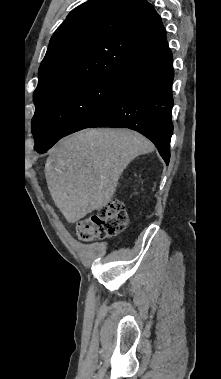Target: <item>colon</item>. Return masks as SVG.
I'll use <instances>...</instances> for the list:
<instances>
[{"label": "colon", "instance_id": "obj_1", "mask_svg": "<svg viewBox=\"0 0 221 379\" xmlns=\"http://www.w3.org/2000/svg\"><path fill=\"white\" fill-rule=\"evenodd\" d=\"M127 223L128 214L124 203L112 200L95 214L78 221L76 233L80 240L88 242L115 236L126 228Z\"/></svg>", "mask_w": 221, "mask_h": 379}]
</instances>
